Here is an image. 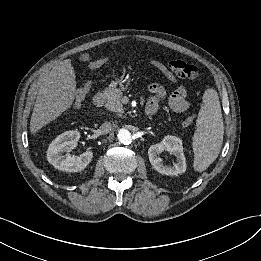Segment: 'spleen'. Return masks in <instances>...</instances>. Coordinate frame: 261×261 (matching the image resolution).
<instances>
[{
    "label": "spleen",
    "instance_id": "3e777b00",
    "mask_svg": "<svg viewBox=\"0 0 261 261\" xmlns=\"http://www.w3.org/2000/svg\"><path fill=\"white\" fill-rule=\"evenodd\" d=\"M223 135L224 125L218 93L214 89H207L193 136L195 171L202 172L215 161L222 146Z\"/></svg>",
    "mask_w": 261,
    "mask_h": 261
}]
</instances>
